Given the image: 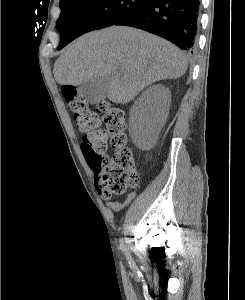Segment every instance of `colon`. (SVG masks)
Wrapping results in <instances>:
<instances>
[{
    "instance_id": "5ec220e1",
    "label": "colon",
    "mask_w": 245,
    "mask_h": 300,
    "mask_svg": "<svg viewBox=\"0 0 245 300\" xmlns=\"http://www.w3.org/2000/svg\"><path fill=\"white\" fill-rule=\"evenodd\" d=\"M62 92L83 133L81 150L95 173L99 193L104 198H111L136 187L139 175L132 152L127 147L124 112L108 101L97 103V111L92 110L87 98L75 86H66ZM108 142L114 148L110 157L105 154Z\"/></svg>"
}]
</instances>
